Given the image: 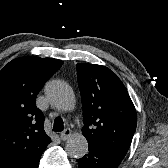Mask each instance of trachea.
Here are the masks:
<instances>
[{
	"label": "trachea",
	"instance_id": "3493384b",
	"mask_svg": "<svg viewBox=\"0 0 168 168\" xmlns=\"http://www.w3.org/2000/svg\"><path fill=\"white\" fill-rule=\"evenodd\" d=\"M63 129H64L63 120H62V118L57 117V118L54 120L53 131H55V132H61V131H63Z\"/></svg>",
	"mask_w": 168,
	"mask_h": 168
}]
</instances>
